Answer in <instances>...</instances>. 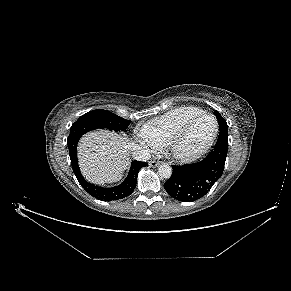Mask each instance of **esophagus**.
I'll use <instances>...</instances> for the list:
<instances>
[{"label": "esophagus", "instance_id": "34e87169", "mask_svg": "<svg viewBox=\"0 0 291 291\" xmlns=\"http://www.w3.org/2000/svg\"><path fill=\"white\" fill-rule=\"evenodd\" d=\"M160 164L159 161L152 160L149 162L150 167H157Z\"/></svg>", "mask_w": 291, "mask_h": 291}]
</instances>
